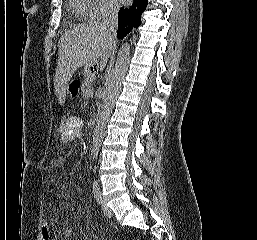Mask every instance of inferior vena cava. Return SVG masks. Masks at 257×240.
<instances>
[{
    "label": "inferior vena cava",
    "instance_id": "obj_1",
    "mask_svg": "<svg viewBox=\"0 0 257 240\" xmlns=\"http://www.w3.org/2000/svg\"><path fill=\"white\" fill-rule=\"evenodd\" d=\"M118 11L119 5L115 2L109 3L106 11V16L101 23V28L111 38L116 37L118 28Z\"/></svg>",
    "mask_w": 257,
    "mask_h": 240
}]
</instances>
